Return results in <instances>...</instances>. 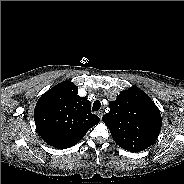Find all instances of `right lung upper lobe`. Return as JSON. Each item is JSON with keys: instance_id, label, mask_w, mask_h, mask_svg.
Here are the masks:
<instances>
[{"instance_id": "1", "label": "right lung upper lobe", "mask_w": 184, "mask_h": 184, "mask_svg": "<svg viewBox=\"0 0 184 184\" xmlns=\"http://www.w3.org/2000/svg\"><path fill=\"white\" fill-rule=\"evenodd\" d=\"M77 94V86L63 81L39 98L34 121L39 135L48 145L59 149L72 147L99 123L100 118L91 113V103Z\"/></svg>"}]
</instances>
